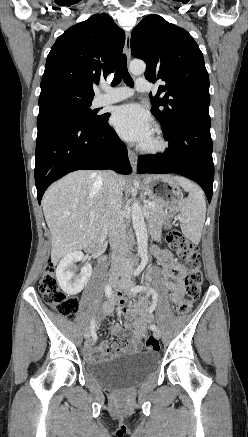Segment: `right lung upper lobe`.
<instances>
[{"instance_id": "1", "label": "right lung upper lobe", "mask_w": 248, "mask_h": 437, "mask_svg": "<svg viewBox=\"0 0 248 437\" xmlns=\"http://www.w3.org/2000/svg\"><path fill=\"white\" fill-rule=\"evenodd\" d=\"M124 42V31L106 14L70 27L48 54L40 96L66 92L93 98V83L114 72Z\"/></svg>"}]
</instances>
